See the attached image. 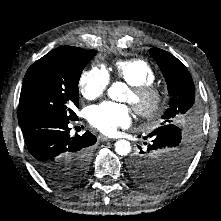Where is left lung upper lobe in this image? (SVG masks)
I'll use <instances>...</instances> for the list:
<instances>
[{
  "mask_svg": "<svg viewBox=\"0 0 221 221\" xmlns=\"http://www.w3.org/2000/svg\"><path fill=\"white\" fill-rule=\"evenodd\" d=\"M165 77L171 96L161 126L149 134L151 141L137 154L141 168L131 171L132 180L149 189H159L176 181L186 170L191 159V148L182 143L181 130L173 125L179 117L192 120L195 116V87L187 68L167 51L151 48ZM169 133V134H168Z\"/></svg>",
  "mask_w": 221,
  "mask_h": 221,
  "instance_id": "1",
  "label": "left lung upper lobe"
}]
</instances>
